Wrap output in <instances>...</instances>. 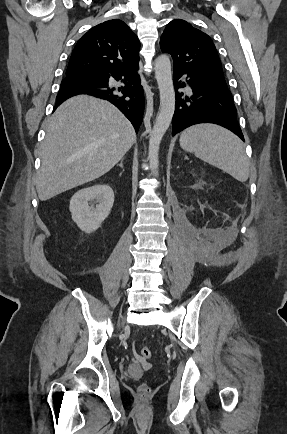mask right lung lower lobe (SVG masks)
Returning a JSON list of instances; mask_svg holds the SVG:
<instances>
[{
	"label": "right lung lower lobe",
	"mask_w": 287,
	"mask_h": 434,
	"mask_svg": "<svg viewBox=\"0 0 287 434\" xmlns=\"http://www.w3.org/2000/svg\"><path fill=\"white\" fill-rule=\"evenodd\" d=\"M111 79L122 82L124 86L110 87ZM77 94H88L113 103L130 120L135 131H138L143 117L144 95L140 77L133 68L101 72L76 80H63L54 110L66 99Z\"/></svg>",
	"instance_id": "1"
}]
</instances>
